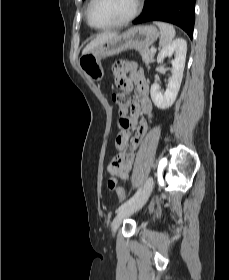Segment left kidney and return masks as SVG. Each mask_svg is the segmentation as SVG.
I'll list each match as a JSON object with an SVG mask.
<instances>
[{"label": "left kidney", "instance_id": "left-kidney-1", "mask_svg": "<svg viewBox=\"0 0 229 280\" xmlns=\"http://www.w3.org/2000/svg\"><path fill=\"white\" fill-rule=\"evenodd\" d=\"M186 52L187 43L184 39L179 38L164 47L157 56V62L162 63L165 57L175 53V59L172 61L171 76L169 77L166 91L162 93L157 83L151 86L150 93L152 101L160 109L171 107L176 100L183 78Z\"/></svg>", "mask_w": 229, "mask_h": 280}]
</instances>
